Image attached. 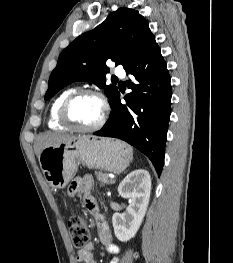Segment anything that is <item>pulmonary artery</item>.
I'll use <instances>...</instances> for the list:
<instances>
[{
  "instance_id": "e3ab8cb5",
  "label": "pulmonary artery",
  "mask_w": 233,
  "mask_h": 263,
  "mask_svg": "<svg viewBox=\"0 0 233 263\" xmlns=\"http://www.w3.org/2000/svg\"><path fill=\"white\" fill-rule=\"evenodd\" d=\"M115 74L117 75V76H119V77H121V78H123V77H125V70L123 69V67L122 66H117L116 68H115Z\"/></svg>"
}]
</instances>
